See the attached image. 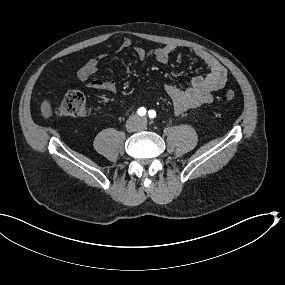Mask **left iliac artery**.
Listing matches in <instances>:
<instances>
[{
    "mask_svg": "<svg viewBox=\"0 0 285 285\" xmlns=\"http://www.w3.org/2000/svg\"><path fill=\"white\" fill-rule=\"evenodd\" d=\"M148 115L150 118H154L156 116V112L154 110H149Z\"/></svg>",
    "mask_w": 285,
    "mask_h": 285,
    "instance_id": "obj_1",
    "label": "left iliac artery"
}]
</instances>
